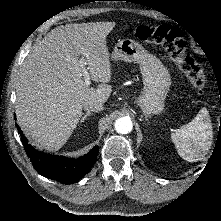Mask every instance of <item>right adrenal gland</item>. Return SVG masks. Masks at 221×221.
Returning a JSON list of instances; mask_svg holds the SVG:
<instances>
[{
	"instance_id": "1",
	"label": "right adrenal gland",
	"mask_w": 221,
	"mask_h": 221,
	"mask_svg": "<svg viewBox=\"0 0 221 221\" xmlns=\"http://www.w3.org/2000/svg\"><path fill=\"white\" fill-rule=\"evenodd\" d=\"M91 114H92L91 112L85 113L84 116L81 118L80 123L84 122V120H85L88 116H90Z\"/></svg>"
}]
</instances>
